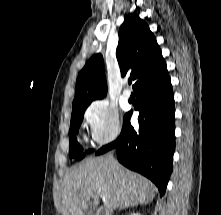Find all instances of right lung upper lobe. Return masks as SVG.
Wrapping results in <instances>:
<instances>
[{
	"mask_svg": "<svg viewBox=\"0 0 221 215\" xmlns=\"http://www.w3.org/2000/svg\"><path fill=\"white\" fill-rule=\"evenodd\" d=\"M116 57L121 76L129 74L135 80L134 91L167 70L154 34L148 24L136 14L126 16L120 27ZM106 93L103 57L95 54L77 77L73 105L91 103L104 98Z\"/></svg>",
	"mask_w": 221,
	"mask_h": 215,
	"instance_id": "cb5924a9",
	"label": "right lung upper lobe"
}]
</instances>
